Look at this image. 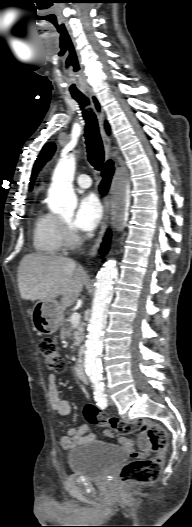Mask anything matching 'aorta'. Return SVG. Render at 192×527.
I'll list each match as a JSON object with an SVG mask.
<instances>
[{
	"instance_id": "aorta-1",
	"label": "aorta",
	"mask_w": 192,
	"mask_h": 527,
	"mask_svg": "<svg viewBox=\"0 0 192 527\" xmlns=\"http://www.w3.org/2000/svg\"><path fill=\"white\" fill-rule=\"evenodd\" d=\"M76 161L73 155H66L56 165L49 188V207L55 213H72L77 207V197L73 190ZM119 200L126 204L129 198L128 172L122 169L116 178ZM117 270L115 261H107L97 275L95 295L92 302L91 317L84 365L86 374L93 384L102 380V361L104 330L107 322V309L113 297V284Z\"/></svg>"
}]
</instances>
